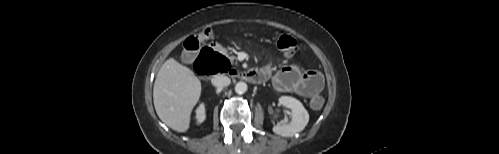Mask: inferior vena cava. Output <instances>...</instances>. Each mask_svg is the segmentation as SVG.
<instances>
[{
    "mask_svg": "<svg viewBox=\"0 0 499 154\" xmlns=\"http://www.w3.org/2000/svg\"><path fill=\"white\" fill-rule=\"evenodd\" d=\"M212 84L218 88L226 87L230 84L231 80L225 75H215L212 80Z\"/></svg>",
    "mask_w": 499,
    "mask_h": 154,
    "instance_id": "602c4592",
    "label": "inferior vena cava"
}]
</instances>
